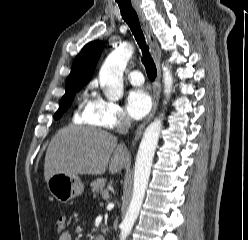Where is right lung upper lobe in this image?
<instances>
[{
	"instance_id": "1",
	"label": "right lung upper lobe",
	"mask_w": 248,
	"mask_h": 240,
	"mask_svg": "<svg viewBox=\"0 0 248 240\" xmlns=\"http://www.w3.org/2000/svg\"><path fill=\"white\" fill-rule=\"evenodd\" d=\"M103 47L102 41H92L86 44L76 56L66 83L79 81L84 85L87 84L93 75Z\"/></svg>"
}]
</instances>
